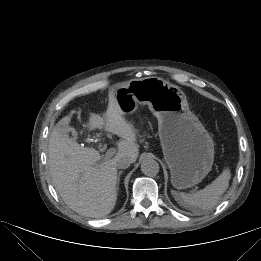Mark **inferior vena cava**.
<instances>
[{"mask_svg": "<svg viewBox=\"0 0 261 261\" xmlns=\"http://www.w3.org/2000/svg\"><path fill=\"white\" fill-rule=\"evenodd\" d=\"M131 163H132L131 158L128 157V156L123 155V156H119L117 158L116 165H117V167L119 169H126V168H128L131 165Z\"/></svg>", "mask_w": 261, "mask_h": 261, "instance_id": "obj_1", "label": "inferior vena cava"}]
</instances>
